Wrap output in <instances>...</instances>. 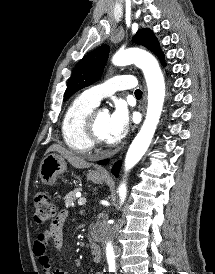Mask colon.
I'll use <instances>...</instances> for the list:
<instances>
[{
  "label": "colon",
  "instance_id": "colon-1",
  "mask_svg": "<svg viewBox=\"0 0 215 274\" xmlns=\"http://www.w3.org/2000/svg\"><path fill=\"white\" fill-rule=\"evenodd\" d=\"M34 220L37 225L47 224L55 215V205L48 194L39 192L34 198Z\"/></svg>",
  "mask_w": 215,
  "mask_h": 274
}]
</instances>
